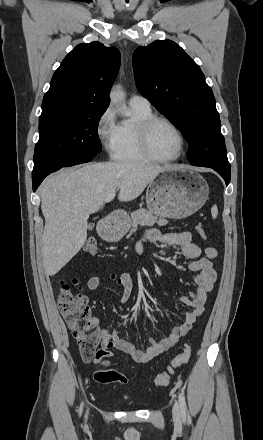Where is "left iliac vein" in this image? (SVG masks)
Segmentation results:
<instances>
[{"mask_svg":"<svg viewBox=\"0 0 263 440\" xmlns=\"http://www.w3.org/2000/svg\"><path fill=\"white\" fill-rule=\"evenodd\" d=\"M172 415H173V419L176 423L181 422V410H180V406L177 402H175V404L173 406Z\"/></svg>","mask_w":263,"mask_h":440,"instance_id":"4c4485c4","label":"left iliac vein"}]
</instances>
